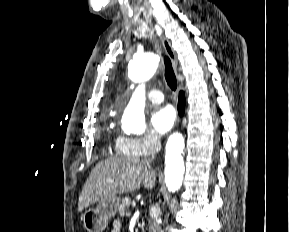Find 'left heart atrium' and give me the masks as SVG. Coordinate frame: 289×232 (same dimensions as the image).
<instances>
[{
    "label": "left heart atrium",
    "instance_id": "39dd6f15",
    "mask_svg": "<svg viewBox=\"0 0 289 232\" xmlns=\"http://www.w3.org/2000/svg\"><path fill=\"white\" fill-rule=\"evenodd\" d=\"M175 118V111L171 106L155 108L150 116L152 130L160 136L166 134L173 127Z\"/></svg>",
    "mask_w": 289,
    "mask_h": 232
}]
</instances>
